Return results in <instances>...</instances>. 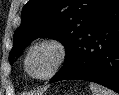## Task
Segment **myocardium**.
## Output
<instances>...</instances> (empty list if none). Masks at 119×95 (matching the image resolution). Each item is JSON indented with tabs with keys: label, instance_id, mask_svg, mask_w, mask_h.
Here are the masks:
<instances>
[{
	"label": "myocardium",
	"instance_id": "f54148a6",
	"mask_svg": "<svg viewBox=\"0 0 119 95\" xmlns=\"http://www.w3.org/2000/svg\"><path fill=\"white\" fill-rule=\"evenodd\" d=\"M42 45H50L54 47L57 51V58L53 67L47 74L42 76H36L30 72L28 67V60L32 51ZM67 57H68V47L64 41L56 37H44L32 43L30 47L27 49L26 54L24 56V68L30 77L37 80H47L52 78L62 68V66L65 64L67 60Z\"/></svg>",
	"mask_w": 119,
	"mask_h": 95
}]
</instances>
